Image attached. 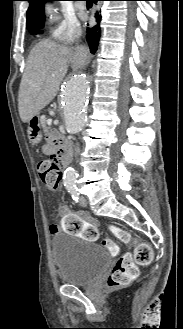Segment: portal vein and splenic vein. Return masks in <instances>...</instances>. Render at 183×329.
<instances>
[{
    "label": "portal vein and splenic vein",
    "instance_id": "18ae733b",
    "mask_svg": "<svg viewBox=\"0 0 183 329\" xmlns=\"http://www.w3.org/2000/svg\"><path fill=\"white\" fill-rule=\"evenodd\" d=\"M47 124H48V125H51V124H52V120H51V119H48V120H47Z\"/></svg>",
    "mask_w": 183,
    "mask_h": 329
}]
</instances>
